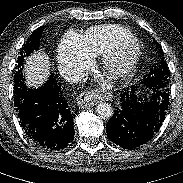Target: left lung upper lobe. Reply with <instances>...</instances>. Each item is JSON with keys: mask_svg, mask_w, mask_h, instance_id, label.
I'll return each mask as SVG.
<instances>
[{"mask_svg": "<svg viewBox=\"0 0 183 183\" xmlns=\"http://www.w3.org/2000/svg\"><path fill=\"white\" fill-rule=\"evenodd\" d=\"M157 48H160V45L154 41ZM160 53L163 54L162 49H159ZM169 69L164 58L161 59L160 65L152 70L148 77L142 82L145 86L152 88L153 90L167 91V83L169 78Z\"/></svg>", "mask_w": 183, "mask_h": 183, "instance_id": "obj_1", "label": "left lung upper lobe"}]
</instances>
